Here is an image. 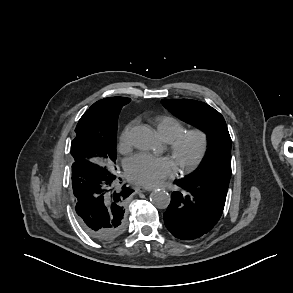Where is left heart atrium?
Listing matches in <instances>:
<instances>
[{
  "label": "left heart atrium",
  "mask_w": 293,
  "mask_h": 293,
  "mask_svg": "<svg viewBox=\"0 0 293 293\" xmlns=\"http://www.w3.org/2000/svg\"><path fill=\"white\" fill-rule=\"evenodd\" d=\"M174 163L166 157L149 154H137L126 163L128 177L139 184L154 186L170 177L174 171Z\"/></svg>",
  "instance_id": "obj_1"
}]
</instances>
